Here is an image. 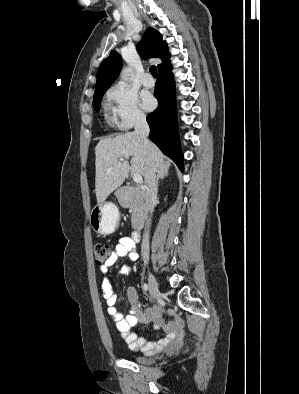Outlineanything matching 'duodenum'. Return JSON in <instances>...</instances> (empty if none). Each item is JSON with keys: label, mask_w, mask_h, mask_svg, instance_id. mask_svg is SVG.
Instances as JSON below:
<instances>
[{"label": "duodenum", "mask_w": 299, "mask_h": 394, "mask_svg": "<svg viewBox=\"0 0 299 394\" xmlns=\"http://www.w3.org/2000/svg\"><path fill=\"white\" fill-rule=\"evenodd\" d=\"M142 190L143 191H147V187L146 186H142ZM141 237V227L136 228L133 232H132V239L137 242L140 240Z\"/></svg>", "instance_id": "obj_1"}]
</instances>
